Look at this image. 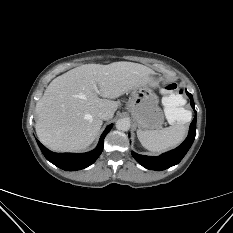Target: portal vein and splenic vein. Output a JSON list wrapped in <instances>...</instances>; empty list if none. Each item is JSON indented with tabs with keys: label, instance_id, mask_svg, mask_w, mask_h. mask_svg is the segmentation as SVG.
Wrapping results in <instances>:
<instances>
[{
	"label": "portal vein and splenic vein",
	"instance_id": "obj_1",
	"mask_svg": "<svg viewBox=\"0 0 233 233\" xmlns=\"http://www.w3.org/2000/svg\"><path fill=\"white\" fill-rule=\"evenodd\" d=\"M94 90H95L96 92H98V89H97V86H96V85H94Z\"/></svg>",
	"mask_w": 233,
	"mask_h": 233
}]
</instances>
